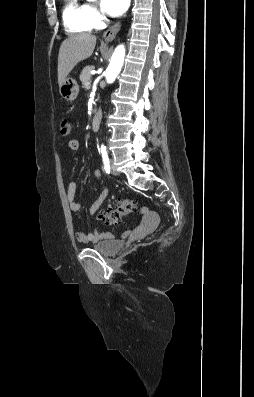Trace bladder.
I'll return each instance as SVG.
<instances>
[{
	"label": "bladder",
	"instance_id": "bladder-1",
	"mask_svg": "<svg viewBox=\"0 0 254 397\" xmlns=\"http://www.w3.org/2000/svg\"><path fill=\"white\" fill-rule=\"evenodd\" d=\"M122 243L116 239L101 241L93 245V249L103 256H115L120 252Z\"/></svg>",
	"mask_w": 254,
	"mask_h": 397
}]
</instances>
